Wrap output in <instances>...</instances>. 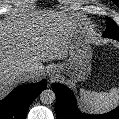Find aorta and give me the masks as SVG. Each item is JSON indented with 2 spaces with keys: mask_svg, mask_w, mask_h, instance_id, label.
<instances>
[{
  "mask_svg": "<svg viewBox=\"0 0 119 119\" xmlns=\"http://www.w3.org/2000/svg\"><path fill=\"white\" fill-rule=\"evenodd\" d=\"M56 100V95L52 89H45L40 94V101L43 104H52Z\"/></svg>",
  "mask_w": 119,
  "mask_h": 119,
  "instance_id": "762f6f07",
  "label": "aorta"
}]
</instances>
